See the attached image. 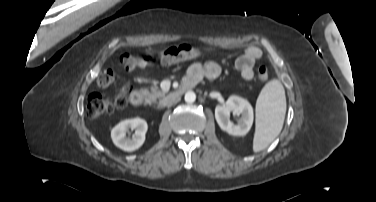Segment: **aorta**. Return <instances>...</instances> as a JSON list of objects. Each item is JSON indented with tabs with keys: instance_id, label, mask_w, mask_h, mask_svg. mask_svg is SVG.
<instances>
[{
	"instance_id": "762f6f07",
	"label": "aorta",
	"mask_w": 376,
	"mask_h": 202,
	"mask_svg": "<svg viewBox=\"0 0 376 202\" xmlns=\"http://www.w3.org/2000/svg\"><path fill=\"white\" fill-rule=\"evenodd\" d=\"M184 99L187 103H193L196 100V94L193 91H187Z\"/></svg>"
}]
</instances>
